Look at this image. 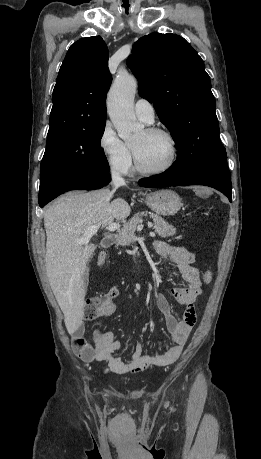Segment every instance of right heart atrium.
<instances>
[{
  "instance_id": "1",
  "label": "right heart atrium",
  "mask_w": 261,
  "mask_h": 459,
  "mask_svg": "<svg viewBox=\"0 0 261 459\" xmlns=\"http://www.w3.org/2000/svg\"><path fill=\"white\" fill-rule=\"evenodd\" d=\"M98 146L112 172L125 175L132 170L131 150L118 137L111 123L106 122L103 125L98 137Z\"/></svg>"
}]
</instances>
